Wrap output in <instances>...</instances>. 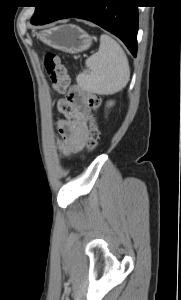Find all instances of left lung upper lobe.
<instances>
[{
    "mask_svg": "<svg viewBox=\"0 0 181 300\" xmlns=\"http://www.w3.org/2000/svg\"><path fill=\"white\" fill-rule=\"evenodd\" d=\"M57 0H36L33 1L37 4L35 13L31 19V23L34 25L41 24L47 16L54 9Z\"/></svg>",
    "mask_w": 181,
    "mask_h": 300,
    "instance_id": "obj_1",
    "label": "left lung upper lobe"
}]
</instances>
